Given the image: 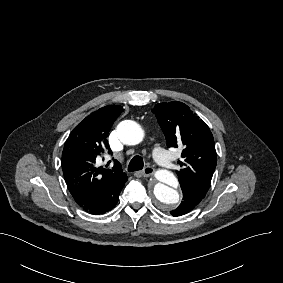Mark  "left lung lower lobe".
Returning a JSON list of instances; mask_svg holds the SVG:
<instances>
[{
  "mask_svg": "<svg viewBox=\"0 0 283 283\" xmlns=\"http://www.w3.org/2000/svg\"><path fill=\"white\" fill-rule=\"evenodd\" d=\"M183 192V201L170 213L174 216H181L191 211L206 195L205 188L193 183L180 184Z\"/></svg>",
  "mask_w": 283,
  "mask_h": 283,
  "instance_id": "1",
  "label": "left lung lower lobe"
}]
</instances>
